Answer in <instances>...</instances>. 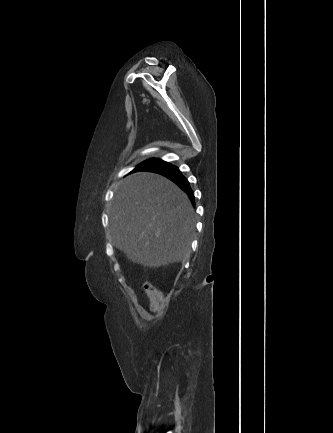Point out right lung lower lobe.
<instances>
[{
  "label": "right lung lower lobe",
  "instance_id": "1",
  "mask_svg": "<svg viewBox=\"0 0 333 433\" xmlns=\"http://www.w3.org/2000/svg\"><path fill=\"white\" fill-rule=\"evenodd\" d=\"M135 171H152L167 177L175 184H177L183 191H185L192 200V202H194V195L189 185V182L182 175L178 167L173 166L172 164L163 160L156 159L154 161L147 162L140 167H137L133 172Z\"/></svg>",
  "mask_w": 333,
  "mask_h": 433
}]
</instances>
